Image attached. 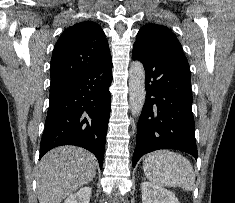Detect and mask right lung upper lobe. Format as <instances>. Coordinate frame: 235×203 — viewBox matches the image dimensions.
Returning <instances> with one entry per match:
<instances>
[{"mask_svg":"<svg viewBox=\"0 0 235 203\" xmlns=\"http://www.w3.org/2000/svg\"><path fill=\"white\" fill-rule=\"evenodd\" d=\"M108 41L94 22L77 23L58 39L51 58V85L62 84L110 59Z\"/></svg>","mask_w":235,"mask_h":203,"instance_id":"obj_1","label":"right lung upper lobe"}]
</instances>
